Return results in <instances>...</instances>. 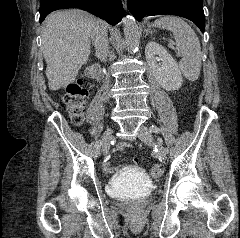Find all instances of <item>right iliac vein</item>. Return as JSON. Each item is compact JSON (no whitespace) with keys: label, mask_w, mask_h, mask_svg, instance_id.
<instances>
[{"label":"right iliac vein","mask_w":240,"mask_h":238,"mask_svg":"<svg viewBox=\"0 0 240 238\" xmlns=\"http://www.w3.org/2000/svg\"><path fill=\"white\" fill-rule=\"evenodd\" d=\"M112 133H113L112 130H108L103 135V138H102V151H103L104 155H106L108 153V151H109L110 143H111V140H112V137H113Z\"/></svg>","instance_id":"obj_1"}]
</instances>
